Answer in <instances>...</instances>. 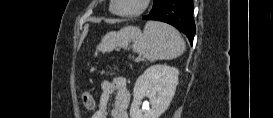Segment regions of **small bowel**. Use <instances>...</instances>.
<instances>
[{
    "instance_id": "c3829d8e",
    "label": "small bowel",
    "mask_w": 273,
    "mask_h": 118,
    "mask_svg": "<svg viewBox=\"0 0 273 118\" xmlns=\"http://www.w3.org/2000/svg\"><path fill=\"white\" fill-rule=\"evenodd\" d=\"M92 97V95H91ZM114 97L111 115L112 118H128L130 92L125 78L118 76L112 80H103L98 105L94 101L93 118H106L111 98Z\"/></svg>"
}]
</instances>
